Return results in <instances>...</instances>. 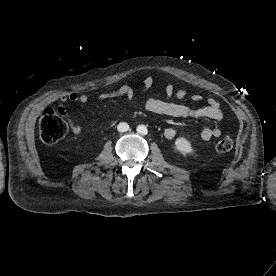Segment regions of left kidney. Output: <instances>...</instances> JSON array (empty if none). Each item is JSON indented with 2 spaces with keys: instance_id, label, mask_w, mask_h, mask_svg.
Returning <instances> with one entry per match:
<instances>
[{
  "instance_id": "1",
  "label": "left kidney",
  "mask_w": 276,
  "mask_h": 276,
  "mask_svg": "<svg viewBox=\"0 0 276 276\" xmlns=\"http://www.w3.org/2000/svg\"><path fill=\"white\" fill-rule=\"evenodd\" d=\"M175 147L182 154H191L194 151L191 143L184 137H180L175 140Z\"/></svg>"
}]
</instances>
